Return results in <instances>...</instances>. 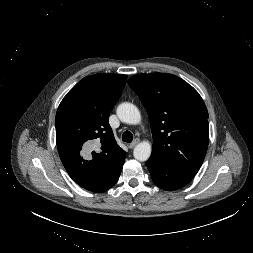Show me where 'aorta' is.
Here are the masks:
<instances>
[{
	"label": "aorta",
	"instance_id": "obj_1",
	"mask_svg": "<svg viewBox=\"0 0 253 253\" xmlns=\"http://www.w3.org/2000/svg\"><path fill=\"white\" fill-rule=\"evenodd\" d=\"M118 118L127 124L136 125L141 121V114L138 108L128 102H124L117 107ZM152 152V146L149 142L143 141L137 144L134 148L133 155L138 161L144 162L149 159Z\"/></svg>",
	"mask_w": 253,
	"mask_h": 253
}]
</instances>
